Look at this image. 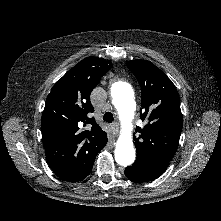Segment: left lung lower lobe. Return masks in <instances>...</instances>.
I'll return each mask as SVG.
<instances>
[{"instance_id": "obj_1", "label": "left lung lower lobe", "mask_w": 221, "mask_h": 221, "mask_svg": "<svg viewBox=\"0 0 221 221\" xmlns=\"http://www.w3.org/2000/svg\"><path fill=\"white\" fill-rule=\"evenodd\" d=\"M166 169L144 170L128 166L125 168L124 174L133 181L147 182L161 176Z\"/></svg>"}]
</instances>
